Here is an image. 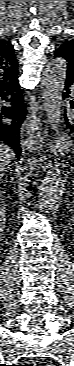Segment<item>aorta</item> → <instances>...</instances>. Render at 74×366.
<instances>
[{
    "instance_id": "obj_1",
    "label": "aorta",
    "mask_w": 74,
    "mask_h": 366,
    "mask_svg": "<svg viewBox=\"0 0 74 366\" xmlns=\"http://www.w3.org/2000/svg\"><path fill=\"white\" fill-rule=\"evenodd\" d=\"M67 71V61L53 58L47 65L42 78V98L50 129L59 134L62 122L61 100ZM62 175L57 164L48 166L38 186L39 209L48 212L58 204L62 195Z\"/></svg>"
}]
</instances>
